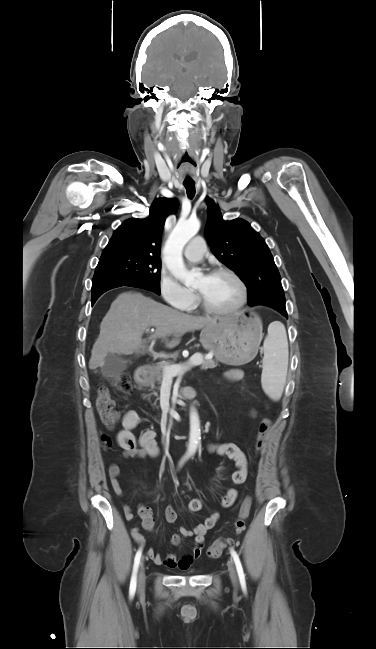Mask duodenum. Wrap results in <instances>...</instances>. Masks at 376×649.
<instances>
[{
	"label": "duodenum",
	"mask_w": 376,
	"mask_h": 649,
	"mask_svg": "<svg viewBox=\"0 0 376 649\" xmlns=\"http://www.w3.org/2000/svg\"><path fill=\"white\" fill-rule=\"evenodd\" d=\"M148 375H149V368L147 366H141L137 369L135 373V380L138 384H144L148 379ZM182 395L186 397H192L191 390L189 388L183 389Z\"/></svg>",
	"instance_id": "obj_1"
}]
</instances>
